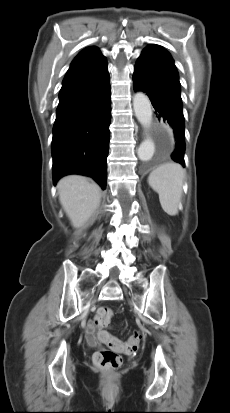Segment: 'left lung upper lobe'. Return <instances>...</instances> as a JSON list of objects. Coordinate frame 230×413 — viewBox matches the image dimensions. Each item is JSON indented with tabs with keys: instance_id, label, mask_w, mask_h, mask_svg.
<instances>
[{
	"instance_id": "1",
	"label": "left lung upper lobe",
	"mask_w": 230,
	"mask_h": 413,
	"mask_svg": "<svg viewBox=\"0 0 230 413\" xmlns=\"http://www.w3.org/2000/svg\"><path fill=\"white\" fill-rule=\"evenodd\" d=\"M152 45H154V44H152ZM155 46H158V45H155ZM158 47H160L161 49H163L161 46H158ZM170 57H171V55L165 50V49H163ZM172 58V57H171Z\"/></svg>"
}]
</instances>
